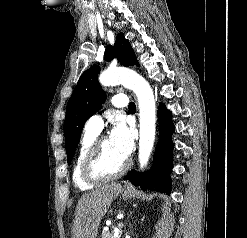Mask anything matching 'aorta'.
<instances>
[{
    "label": "aorta",
    "instance_id": "aorta-1",
    "mask_svg": "<svg viewBox=\"0 0 247 238\" xmlns=\"http://www.w3.org/2000/svg\"><path fill=\"white\" fill-rule=\"evenodd\" d=\"M99 81L103 86L122 84L136 94L140 112L139 163L144 168L153 149L156 123L155 99L149 83L126 68L108 69L100 75Z\"/></svg>",
    "mask_w": 247,
    "mask_h": 238
}]
</instances>
